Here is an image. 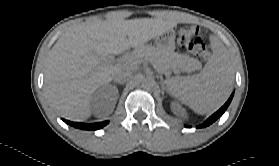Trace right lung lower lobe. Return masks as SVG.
Instances as JSON below:
<instances>
[{"mask_svg":"<svg viewBox=\"0 0 279 166\" xmlns=\"http://www.w3.org/2000/svg\"><path fill=\"white\" fill-rule=\"evenodd\" d=\"M65 123L79 128V129H86V130H97L100 129L102 127H104L105 125L108 124V121H104V122H98V123H94V124H84V123H78V122H70L68 120H63Z\"/></svg>","mask_w":279,"mask_h":166,"instance_id":"obj_1","label":"right lung lower lobe"}]
</instances>
